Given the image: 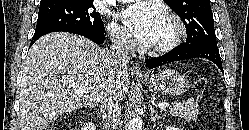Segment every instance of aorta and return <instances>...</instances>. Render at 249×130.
I'll return each mask as SVG.
<instances>
[{
  "instance_id": "obj_1",
  "label": "aorta",
  "mask_w": 249,
  "mask_h": 130,
  "mask_svg": "<svg viewBox=\"0 0 249 130\" xmlns=\"http://www.w3.org/2000/svg\"><path fill=\"white\" fill-rule=\"evenodd\" d=\"M143 121L141 116L137 113L129 121L128 130H142Z\"/></svg>"
}]
</instances>
